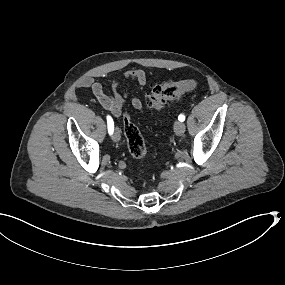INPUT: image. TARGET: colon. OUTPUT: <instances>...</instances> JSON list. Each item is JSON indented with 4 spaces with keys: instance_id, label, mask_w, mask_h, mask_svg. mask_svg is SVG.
<instances>
[{
    "instance_id": "obj_1",
    "label": "colon",
    "mask_w": 285,
    "mask_h": 285,
    "mask_svg": "<svg viewBox=\"0 0 285 285\" xmlns=\"http://www.w3.org/2000/svg\"><path fill=\"white\" fill-rule=\"evenodd\" d=\"M197 86L198 82L195 79L155 85L150 91L148 106L155 110H161L170 101L178 99L182 94L195 89ZM123 129L130 154L137 159L145 158L147 154L145 140L127 113L123 116Z\"/></svg>"
}]
</instances>
